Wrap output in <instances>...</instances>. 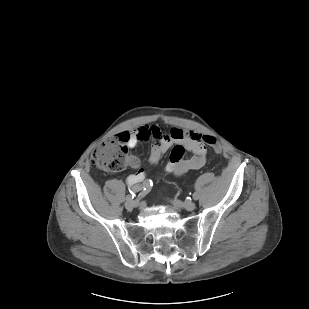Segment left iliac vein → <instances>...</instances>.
Listing matches in <instances>:
<instances>
[{"mask_svg": "<svg viewBox=\"0 0 309 309\" xmlns=\"http://www.w3.org/2000/svg\"><path fill=\"white\" fill-rule=\"evenodd\" d=\"M172 204L177 208H184L188 211H192L196 208V204L192 201L182 202L180 200H172Z\"/></svg>", "mask_w": 309, "mask_h": 309, "instance_id": "left-iliac-vein-1", "label": "left iliac vein"}]
</instances>
